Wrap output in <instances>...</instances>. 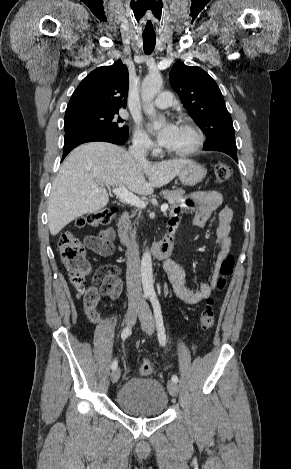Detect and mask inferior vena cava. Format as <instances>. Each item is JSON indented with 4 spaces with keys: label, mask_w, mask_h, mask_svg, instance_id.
Here are the masks:
<instances>
[{
    "label": "inferior vena cava",
    "mask_w": 291,
    "mask_h": 469,
    "mask_svg": "<svg viewBox=\"0 0 291 469\" xmlns=\"http://www.w3.org/2000/svg\"><path fill=\"white\" fill-rule=\"evenodd\" d=\"M129 153L135 159L140 161L146 160V144L141 138H135L132 146L129 147ZM127 257V293L129 306H144L145 301L142 296L140 258L136 240L132 238L126 251Z\"/></svg>",
    "instance_id": "1"
}]
</instances>
